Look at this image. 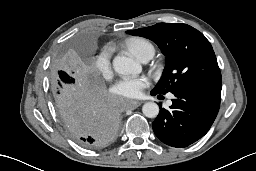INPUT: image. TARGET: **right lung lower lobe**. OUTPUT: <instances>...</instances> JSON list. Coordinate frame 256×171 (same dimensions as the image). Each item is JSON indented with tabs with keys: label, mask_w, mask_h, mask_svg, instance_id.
I'll return each mask as SVG.
<instances>
[{
	"label": "right lung lower lobe",
	"mask_w": 256,
	"mask_h": 171,
	"mask_svg": "<svg viewBox=\"0 0 256 171\" xmlns=\"http://www.w3.org/2000/svg\"><path fill=\"white\" fill-rule=\"evenodd\" d=\"M56 108L65 128L83 147L105 146L118 134L122 120L118 105L102 85L88 86Z\"/></svg>",
	"instance_id": "98d812e1"
}]
</instances>
